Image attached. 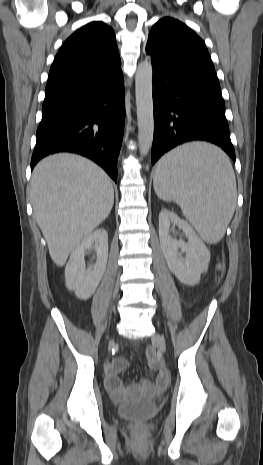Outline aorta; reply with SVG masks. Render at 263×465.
Segmentation results:
<instances>
[{
	"mask_svg": "<svg viewBox=\"0 0 263 465\" xmlns=\"http://www.w3.org/2000/svg\"><path fill=\"white\" fill-rule=\"evenodd\" d=\"M153 68L149 59L140 62L135 75V95L138 120V146L142 156L149 153L154 136Z\"/></svg>",
	"mask_w": 263,
	"mask_h": 465,
	"instance_id": "obj_1",
	"label": "aorta"
}]
</instances>
